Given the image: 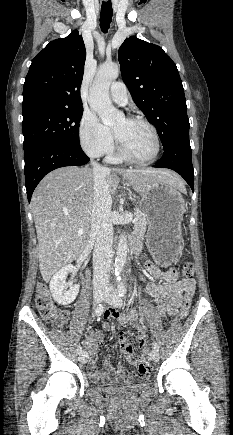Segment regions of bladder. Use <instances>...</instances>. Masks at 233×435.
Wrapping results in <instances>:
<instances>
[{"label": "bladder", "instance_id": "1", "mask_svg": "<svg viewBox=\"0 0 233 435\" xmlns=\"http://www.w3.org/2000/svg\"><path fill=\"white\" fill-rule=\"evenodd\" d=\"M150 375L146 374L144 380H140L133 384H127L119 381L104 382L97 387V390L105 394L132 396L141 390L148 389L150 383L148 382Z\"/></svg>", "mask_w": 233, "mask_h": 435}]
</instances>
